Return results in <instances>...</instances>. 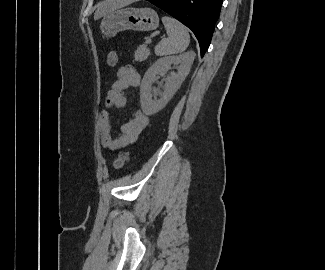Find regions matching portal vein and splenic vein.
Masks as SVG:
<instances>
[{
  "label": "portal vein and splenic vein",
  "mask_w": 325,
  "mask_h": 270,
  "mask_svg": "<svg viewBox=\"0 0 325 270\" xmlns=\"http://www.w3.org/2000/svg\"><path fill=\"white\" fill-rule=\"evenodd\" d=\"M150 42H151V39H148V40H147V43H150Z\"/></svg>",
  "instance_id": "obj_1"
}]
</instances>
